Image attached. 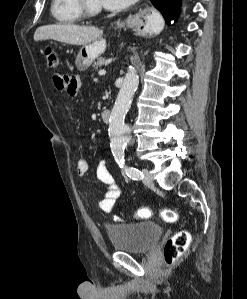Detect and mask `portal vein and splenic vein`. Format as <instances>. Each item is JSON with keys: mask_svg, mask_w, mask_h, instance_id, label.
I'll use <instances>...</instances> for the list:
<instances>
[{"mask_svg": "<svg viewBox=\"0 0 247 299\" xmlns=\"http://www.w3.org/2000/svg\"><path fill=\"white\" fill-rule=\"evenodd\" d=\"M104 74H106V71H105V70H100V71H99V75H104Z\"/></svg>", "mask_w": 247, "mask_h": 299, "instance_id": "obj_1", "label": "portal vein and splenic vein"}]
</instances>
